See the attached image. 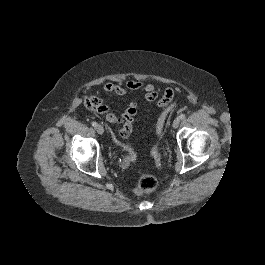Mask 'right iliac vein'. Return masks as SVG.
Wrapping results in <instances>:
<instances>
[{
  "label": "right iliac vein",
  "instance_id": "obj_1",
  "mask_svg": "<svg viewBox=\"0 0 265 265\" xmlns=\"http://www.w3.org/2000/svg\"><path fill=\"white\" fill-rule=\"evenodd\" d=\"M96 130H97V132H98L99 134H103V133H104V128H103V126L100 125V124H98V125L96 126Z\"/></svg>",
  "mask_w": 265,
  "mask_h": 265
}]
</instances>
